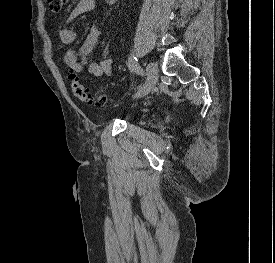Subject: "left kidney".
<instances>
[{
    "mask_svg": "<svg viewBox=\"0 0 275 263\" xmlns=\"http://www.w3.org/2000/svg\"><path fill=\"white\" fill-rule=\"evenodd\" d=\"M107 3H109L110 5H112L113 3H115L116 0H106Z\"/></svg>",
    "mask_w": 275,
    "mask_h": 263,
    "instance_id": "1",
    "label": "left kidney"
}]
</instances>
